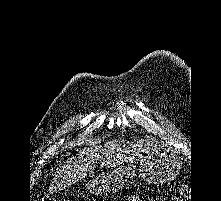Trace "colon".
Returning a JSON list of instances; mask_svg holds the SVG:
<instances>
[{
	"mask_svg": "<svg viewBox=\"0 0 221 201\" xmlns=\"http://www.w3.org/2000/svg\"><path fill=\"white\" fill-rule=\"evenodd\" d=\"M175 201H188L189 199V189L187 186L183 185L181 187H179L176 191H175ZM43 201H57L55 199L52 198H45L43 199Z\"/></svg>",
	"mask_w": 221,
	"mask_h": 201,
	"instance_id": "colon-1",
	"label": "colon"
}]
</instances>
